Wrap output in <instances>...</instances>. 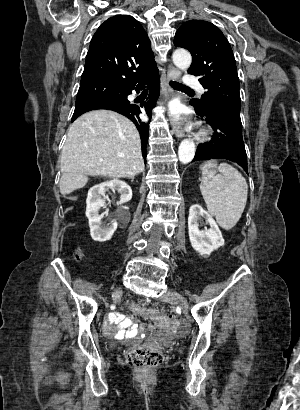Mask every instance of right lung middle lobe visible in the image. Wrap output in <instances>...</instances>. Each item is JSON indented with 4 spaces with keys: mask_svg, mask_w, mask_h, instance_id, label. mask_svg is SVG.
<instances>
[{
    "mask_svg": "<svg viewBox=\"0 0 300 410\" xmlns=\"http://www.w3.org/2000/svg\"><path fill=\"white\" fill-rule=\"evenodd\" d=\"M126 92V90L102 82H81L76 98V104L100 98L127 101Z\"/></svg>",
    "mask_w": 300,
    "mask_h": 410,
    "instance_id": "right-lung-middle-lobe-1",
    "label": "right lung middle lobe"
}]
</instances>
